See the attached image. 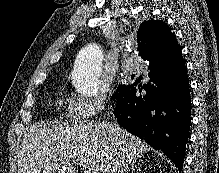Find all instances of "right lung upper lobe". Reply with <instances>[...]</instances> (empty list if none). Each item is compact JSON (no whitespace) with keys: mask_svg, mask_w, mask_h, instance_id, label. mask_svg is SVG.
Here are the masks:
<instances>
[{"mask_svg":"<svg viewBox=\"0 0 219 173\" xmlns=\"http://www.w3.org/2000/svg\"><path fill=\"white\" fill-rule=\"evenodd\" d=\"M137 51L144 60L158 54L159 59L173 63L182 58L181 49L176 36L162 21L149 20L143 22L137 32Z\"/></svg>","mask_w":219,"mask_h":173,"instance_id":"1","label":"right lung upper lobe"}]
</instances>
